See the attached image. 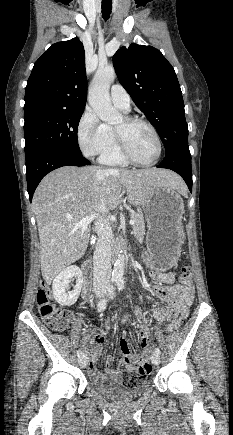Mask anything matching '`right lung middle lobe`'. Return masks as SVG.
I'll list each match as a JSON object with an SVG mask.
<instances>
[{"label": "right lung middle lobe", "mask_w": 233, "mask_h": 435, "mask_svg": "<svg viewBox=\"0 0 233 435\" xmlns=\"http://www.w3.org/2000/svg\"><path fill=\"white\" fill-rule=\"evenodd\" d=\"M83 111L51 110L25 116V155L47 147L80 154L77 130Z\"/></svg>", "instance_id": "right-lung-middle-lobe-1"}]
</instances>
